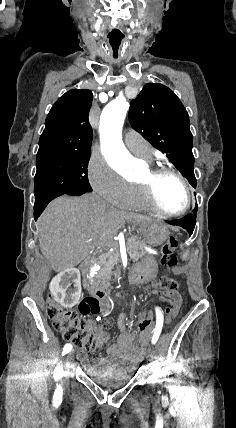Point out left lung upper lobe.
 <instances>
[{
  "label": "left lung upper lobe",
  "mask_w": 236,
  "mask_h": 428,
  "mask_svg": "<svg viewBox=\"0 0 236 428\" xmlns=\"http://www.w3.org/2000/svg\"><path fill=\"white\" fill-rule=\"evenodd\" d=\"M132 127L163 153L196 188L189 116L177 95L159 83H148L131 101Z\"/></svg>",
  "instance_id": "left-lung-upper-lobe-1"
}]
</instances>
